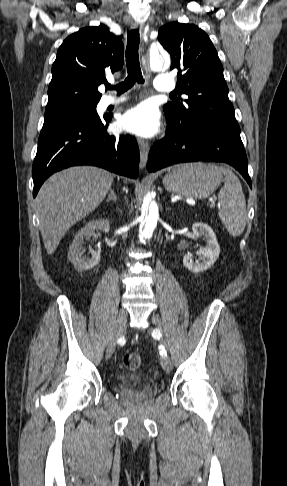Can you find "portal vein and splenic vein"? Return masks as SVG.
Wrapping results in <instances>:
<instances>
[{
    "label": "portal vein and splenic vein",
    "mask_w": 287,
    "mask_h": 486,
    "mask_svg": "<svg viewBox=\"0 0 287 486\" xmlns=\"http://www.w3.org/2000/svg\"><path fill=\"white\" fill-rule=\"evenodd\" d=\"M213 205H215V202L212 200V201H211V206H213Z\"/></svg>",
    "instance_id": "obj_1"
}]
</instances>
